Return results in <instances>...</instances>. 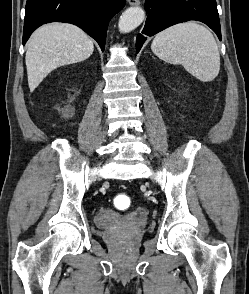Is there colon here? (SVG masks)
Instances as JSON below:
<instances>
[{
    "label": "colon",
    "mask_w": 249,
    "mask_h": 294,
    "mask_svg": "<svg viewBox=\"0 0 249 294\" xmlns=\"http://www.w3.org/2000/svg\"><path fill=\"white\" fill-rule=\"evenodd\" d=\"M115 204L117 207L128 208L131 205V199L126 195H118L115 198Z\"/></svg>",
    "instance_id": "obj_1"
}]
</instances>
